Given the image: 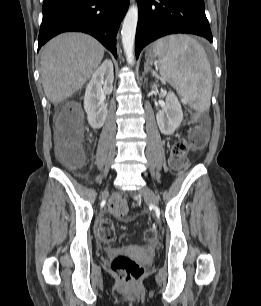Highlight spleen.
<instances>
[{"label":"spleen","mask_w":261,"mask_h":306,"mask_svg":"<svg viewBox=\"0 0 261 306\" xmlns=\"http://www.w3.org/2000/svg\"><path fill=\"white\" fill-rule=\"evenodd\" d=\"M153 52L163 79L195 110L208 111L212 72L199 42L189 35H169L154 42Z\"/></svg>","instance_id":"obj_1"}]
</instances>
